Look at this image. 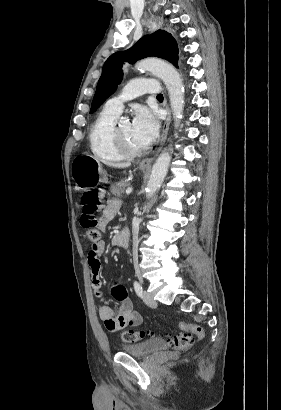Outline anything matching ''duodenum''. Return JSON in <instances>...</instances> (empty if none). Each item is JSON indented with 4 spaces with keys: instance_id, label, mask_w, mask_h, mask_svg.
I'll list each match as a JSON object with an SVG mask.
<instances>
[{
    "instance_id": "duodenum-1",
    "label": "duodenum",
    "mask_w": 281,
    "mask_h": 410,
    "mask_svg": "<svg viewBox=\"0 0 281 410\" xmlns=\"http://www.w3.org/2000/svg\"><path fill=\"white\" fill-rule=\"evenodd\" d=\"M130 241V232L127 227H123L115 239V244L119 247H126Z\"/></svg>"
}]
</instances>
